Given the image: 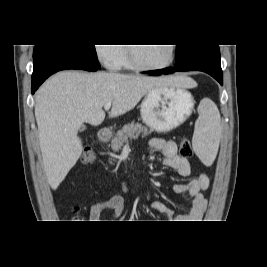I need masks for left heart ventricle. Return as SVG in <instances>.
<instances>
[{
    "label": "left heart ventricle",
    "mask_w": 267,
    "mask_h": 267,
    "mask_svg": "<svg viewBox=\"0 0 267 267\" xmlns=\"http://www.w3.org/2000/svg\"><path fill=\"white\" fill-rule=\"evenodd\" d=\"M138 61L145 65H162L170 58V47L168 44L158 46H134L133 47Z\"/></svg>",
    "instance_id": "b2bd125f"
}]
</instances>
